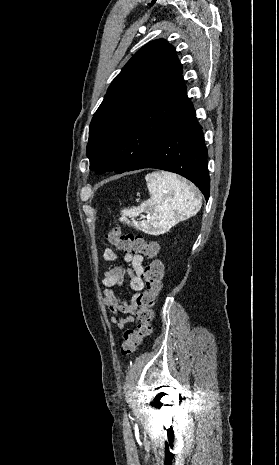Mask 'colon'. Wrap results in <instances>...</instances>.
Returning <instances> with one entry per match:
<instances>
[{"mask_svg":"<svg viewBox=\"0 0 279 465\" xmlns=\"http://www.w3.org/2000/svg\"><path fill=\"white\" fill-rule=\"evenodd\" d=\"M106 238L118 249L142 254L149 260L143 270L146 289L136 297L138 325L135 329L124 331L120 347L122 356H129L136 350L143 338L151 334L153 305L161 290L164 266L158 257L159 246L156 242H147L141 235L123 233L119 227L112 228L106 234Z\"/></svg>","mask_w":279,"mask_h":465,"instance_id":"5ec220e1","label":"colon"}]
</instances>
